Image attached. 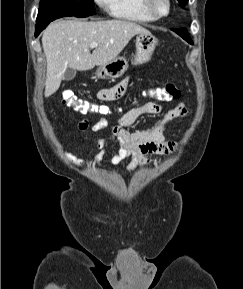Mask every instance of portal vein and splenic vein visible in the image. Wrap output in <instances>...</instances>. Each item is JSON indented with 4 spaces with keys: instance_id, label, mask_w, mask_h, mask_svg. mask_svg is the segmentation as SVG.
Here are the masks:
<instances>
[{
    "instance_id": "1",
    "label": "portal vein and splenic vein",
    "mask_w": 243,
    "mask_h": 289,
    "mask_svg": "<svg viewBox=\"0 0 243 289\" xmlns=\"http://www.w3.org/2000/svg\"><path fill=\"white\" fill-rule=\"evenodd\" d=\"M99 44L97 42H91L90 43V48H95L97 47Z\"/></svg>"
}]
</instances>
